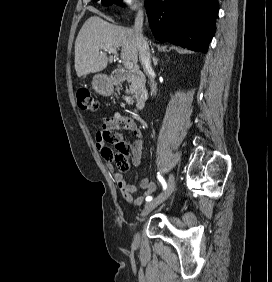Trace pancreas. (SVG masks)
I'll list each match as a JSON object with an SVG mask.
<instances>
[{"instance_id": "pancreas-1", "label": "pancreas", "mask_w": 272, "mask_h": 282, "mask_svg": "<svg viewBox=\"0 0 272 282\" xmlns=\"http://www.w3.org/2000/svg\"><path fill=\"white\" fill-rule=\"evenodd\" d=\"M134 87H135L134 84L130 85V93H131L132 96H126L125 97V101L128 104H132L133 103V97L135 96V93H136Z\"/></svg>"}]
</instances>
